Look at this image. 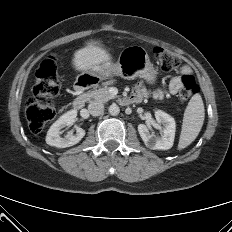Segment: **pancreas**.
I'll list each match as a JSON object with an SVG mask.
<instances>
[{"label":"pancreas","mask_w":232,"mask_h":232,"mask_svg":"<svg viewBox=\"0 0 232 232\" xmlns=\"http://www.w3.org/2000/svg\"><path fill=\"white\" fill-rule=\"evenodd\" d=\"M113 81L107 82L103 87L95 89L86 94V98L90 102L106 103L107 101L114 99L115 96L109 92V86L113 84Z\"/></svg>","instance_id":"pancreas-1"}]
</instances>
